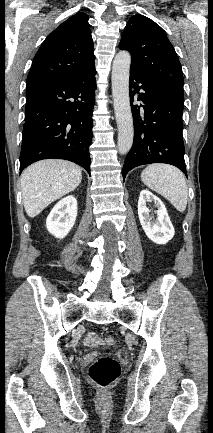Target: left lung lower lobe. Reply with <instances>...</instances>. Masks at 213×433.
Wrapping results in <instances>:
<instances>
[{
    "mask_svg": "<svg viewBox=\"0 0 213 433\" xmlns=\"http://www.w3.org/2000/svg\"><path fill=\"white\" fill-rule=\"evenodd\" d=\"M130 102L138 94L140 106L132 105L133 147L122 169L126 174L139 165L166 163L178 167L186 176L182 137L183 99L150 84L130 69Z\"/></svg>",
    "mask_w": 213,
    "mask_h": 433,
    "instance_id": "0a47b994",
    "label": "left lung lower lobe"
}]
</instances>
